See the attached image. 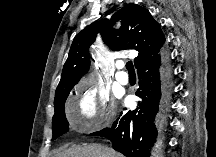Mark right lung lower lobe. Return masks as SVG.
<instances>
[{"mask_svg":"<svg viewBox=\"0 0 216 157\" xmlns=\"http://www.w3.org/2000/svg\"><path fill=\"white\" fill-rule=\"evenodd\" d=\"M141 99L134 111L121 112L111 128L92 133V136L108 137L112 147L125 157H150L152 148L161 138L162 122L167 107L165 86L166 65L159 54L137 68Z\"/></svg>","mask_w":216,"mask_h":157,"instance_id":"right-lung-lower-lobe-1","label":"right lung lower lobe"}]
</instances>
